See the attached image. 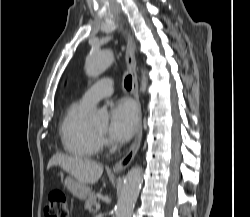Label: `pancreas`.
<instances>
[{"label": "pancreas", "instance_id": "1", "mask_svg": "<svg viewBox=\"0 0 250 217\" xmlns=\"http://www.w3.org/2000/svg\"><path fill=\"white\" fill-rule=\"evenodd\" d=\"M96 194L93 192L89 195L88 199L85 202V209L89 212H93V206L96 204Z\"/></svg>", "mask_w": 250, "mask_h": 217}]
</instances>
